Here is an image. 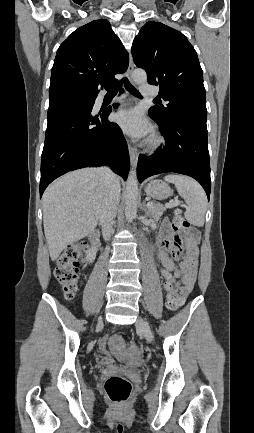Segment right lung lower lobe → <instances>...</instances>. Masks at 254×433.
I'll return each mask as SVG.
<instances>
[{
    "mask_svg": "<svg viewBox=\"0 0 254 433\" xmlns=\"http://www.w3.org/2000/svg\"><path fill=\"white\" fill-rule=\"evenodd\" d=\"M95 99L50 100L41 158L40 197L54 179L79 168L110 162L112 170L127 179L130 159L126 141L120 127L108 121L111 109L92 114Z\"/></svg>",
    "mask_w": 254,
    "mask_h": 433,
    "instance_id": "98d812e1",
    "label": "right lung lower lobe"
}]
</instances>
